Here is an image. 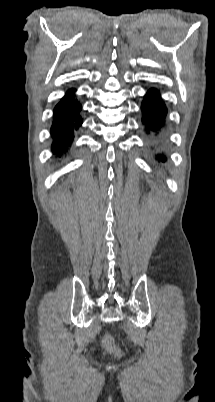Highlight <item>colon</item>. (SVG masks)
<instances>
[{
	"instance_id": "obj_1",
	"label": "colon",
	"mask_w": 215,
	"mask_h": 402,
	"mask_svg": "<svg viewBox=\"0 0 215 402\" xmlns=\"http://www.w3.org/2000/svg\"><path fill=\"white\" fill-rule=\"evenodd\" d=\"M102 345L109 352H113V353L118 352V349H117L116 345L114 344L112 337L109 334H106L103 337Z\"/></svg>"
}]
</instances>
